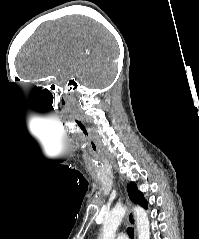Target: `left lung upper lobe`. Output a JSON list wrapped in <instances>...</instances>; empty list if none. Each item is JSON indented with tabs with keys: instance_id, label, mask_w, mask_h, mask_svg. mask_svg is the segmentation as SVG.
<instances>
[{
	"instance_id": "5c2ea615",
	"label": "left lung upper lobe",
	"mask_w": 199,
	"mask_h": 239,
	"mask_svg": "<svg viewBox=\"0 0 199 239\" xmlns=\"http://www.w3.org/2000/svg\"><path fill=\"white\" fill-rule=\"evenodd\" d=\"M127 188L131 201L138 203L144 208H147L148 202L144 199L143 193L138 191L136 184L131 182L127 185Z\"/></svg>"
}]
</instances>
